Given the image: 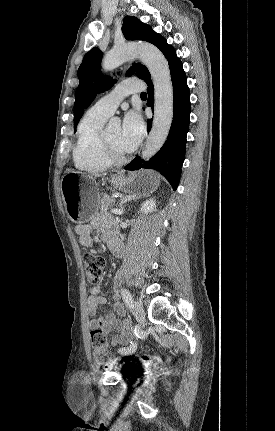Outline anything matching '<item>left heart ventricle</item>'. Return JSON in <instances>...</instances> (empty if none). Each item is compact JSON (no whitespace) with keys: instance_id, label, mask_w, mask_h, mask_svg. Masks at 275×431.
Here are the masks:
<instances>
[{"instance_id":"1","label":"left heart ventricle","mask_w":275,"mask_h":431,"mask_svg":"<svg viewBox=\"0 0 275 431\" xmlns=\"http://www.w3.org/2000/svg\"><path fill=\"white\" fill-rule=\"evenodd\" d=\"M121 127L114 126L106 131V136L114 150L119 154H126L127 152L120 146L119 138H120Z\"/></svg>"}]
</instances>
